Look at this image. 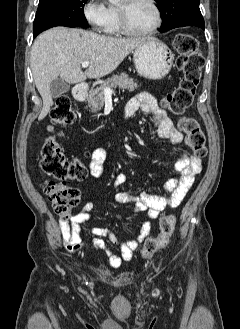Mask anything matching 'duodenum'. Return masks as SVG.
<instances>
[{"label": "duodenum", "mask_w": 240, "mask_h": 329, "mask_svg": "<svg viewBox=\"0 0 240 329\" xmlns=\"http://www.w3.org/2000/svg\"><path fill=\"white\" fill-rule=\"evenodd\" d=\"M86 92V86L84 84H78L73 89V96L77 101L83 102L86 99Z\"/></svg>", "instance_id": "1"}]
</instances>
